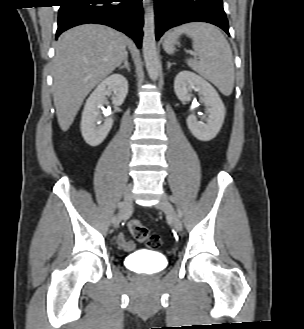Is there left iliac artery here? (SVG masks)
<instances>
[{
    "label": "left iliac artery",
    "instance_id": "obj_1",
    "mask_svg": "<svg viewBox=\"0 0 304 329\" xmlns=\"http://www.w3.org/2000/svg\"><path fill=\"white\" fill-rule=\"evenodd\" d=\"M169 199L171 200V202L176 203V200L173 196H170ZM178 215L179 217H182V212L180 209H178Z\"/></svg>",
    "mask_w": 304,
    "mask_h": 329
}]
</instances>
